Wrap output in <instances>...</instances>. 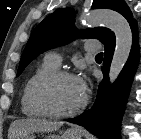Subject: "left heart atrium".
Segmentation results:
<instances>
[{"mask_svg":"<svg viewBox=\"0 0 141 139\" xmlns=\"http://www.w3.org/2000/svg\"><path fill=\"white\" fill-rule=\"evenodd\" d=\"M79 81H80L81 87H82V89H83V91L85 93L86 87H85V85H84V83H83V81L81 79H79Z\"/></svg>","mask_w":141,"mask_h":139,"instance_id":"39dd6f15","label":"left heart atrium"}]
</instances>
